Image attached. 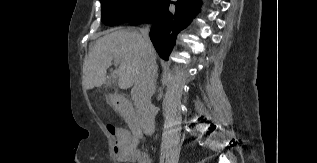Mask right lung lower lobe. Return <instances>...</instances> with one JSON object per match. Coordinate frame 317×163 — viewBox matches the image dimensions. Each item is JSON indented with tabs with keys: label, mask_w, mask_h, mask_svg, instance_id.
<instances>
[{
	"label": "right lung lower lobe",
	"mask_w": 317,
	"mask_h": 163,
	"mask_svg": "<svg viewBox=\"0 0 317 163\" xmlns=\"http://www.w3.org/2000/svg\"><path fill=\"white\" fill-rule=\"evenodd\" d=\"M174 4L176 10L170 12L169 0H161L149 15L142 18L153 22L150 38L164 60H168L177 34L191 23L201 9L200 0H178ZM140 20L131 25H137Z\"/></svg>",
	"instance_id": "right-lung-lower-lobe-1"
}]
</instances>
